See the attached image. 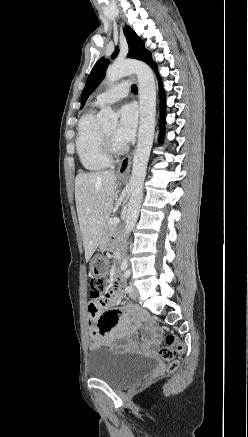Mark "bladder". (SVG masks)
Segmentation results:
<instances>
[{
	"instance_id": "obj_1",
	"label": "bladder",
	"mask_w": 248,
	"mask_h": 437,
	"mask_svg": "<svg viewBox=\"0 0 248 437\" xmlns=\"http://www.w3.org/2000/svg\"><path fill=\"white\" fill-rule=\"evenodd\" d=\"M156 367L157 361L144 354L99 349L89 355L88 375L123 388L152 375Z\"/></svg>"
}]
</instances>
